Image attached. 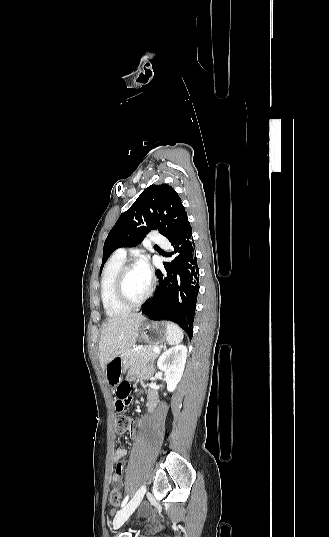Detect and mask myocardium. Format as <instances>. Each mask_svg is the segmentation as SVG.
Here are the masks:
<instances>
[{
    "mask_svg": "<svg viewBox=\"0 0 329 537\" xmlns=\"http://www.w3.org/2000/svg\"><path fill=\"white\" fill-rule=\"evenodd\" d=\"M136 267H137V264L135 263L124 264L119 270L117 274V278H116L117 299L123 306L129 309L136 308L142 305L150 297L152 290H153V283L149 282V286H148L146 293L139 300L131 301L130 299H128L125 293V289H124L125 277L130 270Z\"/></svg>",
    "mask_w": 329,
    "mask_h": 537,
    "instance_id": "obj_1",
    "label": "myocardium"
}]
</instances>
